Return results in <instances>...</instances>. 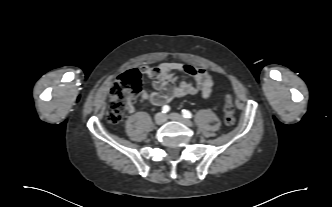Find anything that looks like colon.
<instances>
[{
    "mask_svg": "<svg viewBox=\"0 0 332 207\" xmlns=\"http://www.w3.org/2000/svg\"><path fill=\"white\" fill-rule=\"evenodd\" d=\"M142 92V81L138 70L132 69L119 76L111 87V98L107 110V119L112 123L121 121L129 102ZM224 121L227 125L235 122V107L230 96L224 104Z\"/></svg>",
    "mask_w": 332,
    "mask_h": 207,
    "instance_id": "colon-1",
    "label": "colon"
}]
</instances>
